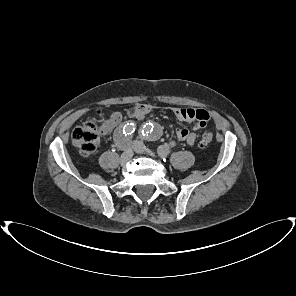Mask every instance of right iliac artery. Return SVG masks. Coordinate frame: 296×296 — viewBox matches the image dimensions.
Here are the masks:
<instances>
[{
    "mask_svg": "<svg viewBox=\"0 0 296 296\" xmlns=\"http://www.w3.org/2000/svg\"><path fill=\"white\" fill-rule=\"evenodd\" d=\"M136 126L134 123L122 125L116 134V144L120 149H125L129 144V139L134 133Z\"/></svg>",
    "mask_w": 296,
    "mask_h": 296,
    "instance_id": "82829eb1",
    "label": "right iliac artery"
}]
</instances>
